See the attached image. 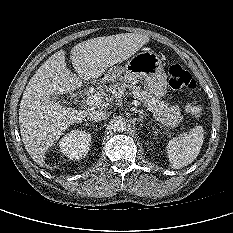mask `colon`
I'll use <instances>...</instances> for the list:
<instances>
[{
  "mask_svg": "<svg viewBox=\"0 0 233 233\" xmlns=\"http://www.w3.org/2000/svg\"><path fill=\"white\" fill-rule=\"evenodd\" d=\"M169 84L175 90H193L196 88V81L192 75L179 64H173L169 67ZM203 100L195 98L187 106V112L193 117H200L203 112Z\"/></svg>",
  "mask_w": 233,
  "mask_h": 233,
  "instance_id": "1",
  "label": "colon"
}]
</instances>
